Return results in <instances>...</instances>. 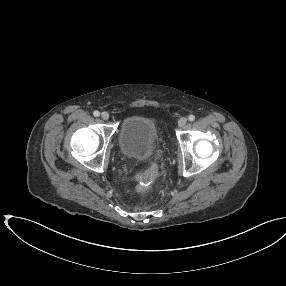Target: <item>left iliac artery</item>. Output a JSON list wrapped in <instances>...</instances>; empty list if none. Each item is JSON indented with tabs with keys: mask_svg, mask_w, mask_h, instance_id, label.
<instances>
[{
	"mask_svg": "<svg viewBox=\"0 0 286 286\" xmlns=\"http://www.w3.org/2000/svg\"><path fill=\"white\" fill-rule=\"evenodd\" d=\"M188 120L191 121V122L194 121L195 120V116L194 115H189Z\"/></svg>",
	"mask_w": 286,
	"mask_h": 286,
	"instance_id": "1",
	"label": "left iliac artery"
}]
</instances>
